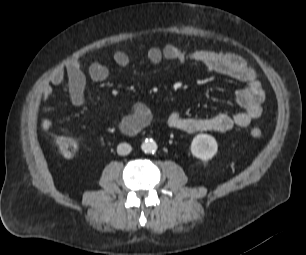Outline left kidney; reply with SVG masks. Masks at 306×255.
Here are the masks:
<instances>
[{"mask_svg":"<svg viewBox=\"0 0 306 255\" xmlns=\"http://www.w3.org/2000/svg\"><path fill=\"white\" fill-rule=\"evenodd\" d=\"M218 145L215 138L208 134L196 135L191 143V153L198 159L208 161L217 153Z\"/></svg>","mask_w":306,"mask_h":255,"instance_id":"left-kidney-1","label":"left kidney"}]
</instances>
